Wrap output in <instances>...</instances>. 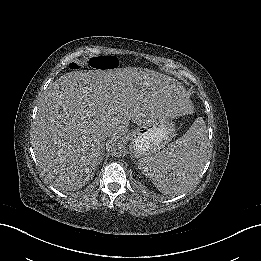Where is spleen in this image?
<instances>
[{
  "instance_id": "spleen-1",
  "label": "spleen",
  "mask_w": 261,
  "mask_h": 261,
  "mask_svg": "<svg viewBox=\"0 0 261 261\" xmlns=\"http://www.w3.org/2000/svg\"><path fill=\"white\" fill-rule=\"evenodd\" d=\"M199 133L187 132L181 141L150 157L139 160V167L165 194L180 190L185 178L203 163Z\"/></svg>"
}]
</instances>
